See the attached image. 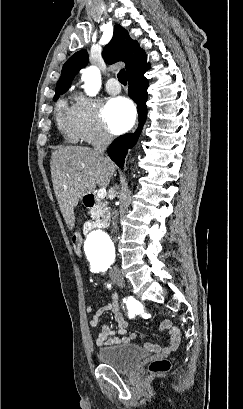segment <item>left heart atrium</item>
I'll return each mask as SVG.
<instances>
[{
  "mask_svg": "<svg viewBox=\"0 0 243 409\" xmlns=\"http://www.w3.org/2000/svg\"><path fill=\"white\" fill-rule=\"evenodd\" d=\"M102 117L111 133L121 134L129 130L134 124L136 111L130 100L117 97L106 103L102 110Z\"/></svg>",
  "mask_w": 243,
  "mask_h": 409,
  "instance_id": "left-heart-atrium-1",
  "label": "left heart atrium"
}]
</instances>
